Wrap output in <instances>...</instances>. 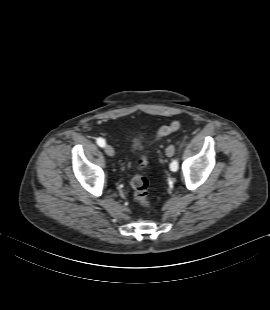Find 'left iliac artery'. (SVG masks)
<instances>
[{"mask_svg": "<svg viewBox=\"0 0 270 310\" xmlns=\"http://www.w3.org/2000/svg\"><path fill=\"white\" fill-rule=\"evenodd\" d=\"M170 168L172 171H177V169H178V160L177 159L172 161Z\"/></svg>", "mask_w": 270, "mask_h": 310, "instance_id": "1", "label": "left iliac artery"}]
</instances>
